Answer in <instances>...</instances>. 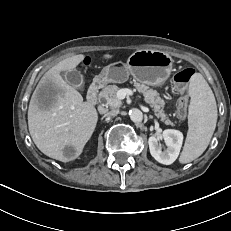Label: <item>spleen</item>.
I'll list each match as a JSON object with an SVG mask.
<instances>
[{"label":"spleen","instance_id":"3e777b00","mask_svg":"<svg viewBox=\"0 0 231 231\" xmlns=\"http://www.w3.org/2000/svg\"><path fill=\"white\" fill-rule=\"evenodd\" d=\"M191 98L188 114V132L181 152L180 163H189L206 150L217 122L214 94L200 73H195L189 84Z\"/></svg>","mask_w":231,"mask_h":231}]
</instances>
